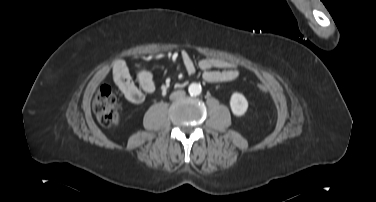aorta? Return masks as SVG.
Here are the masks:
<instances>
[{"label":"aorta","mask_w":376,"mask_h":202,"mask_svg":"<svg viewBox=\"0 0 376 202\" xmlns=\"http://www.w3.org/2000/svg\"><path fill=\"white\" fill-rule=\"evenodd\" d=\"M202 91V88H201V85L200 84H197V83H192L189 85L188 87V92L190 93V95L192 96H197L201 93Z\"/></svg>","instance_id":"762f6f07"}]
</instances>
